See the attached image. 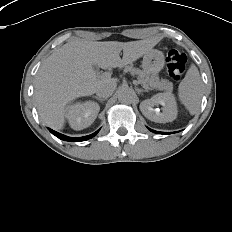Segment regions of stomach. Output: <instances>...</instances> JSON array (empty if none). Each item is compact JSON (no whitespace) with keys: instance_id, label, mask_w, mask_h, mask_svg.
Instances as JSON below:
<instances>
[{"instance_id":"0dacf381","label":"stomach","mask_w":232,"mask_h":232,"mask_svg":"<svg viewBox=\"0 0 232 232\" xmlns=\"http://www.w3.org/2000/svg\"><path fill=\"white\" fill-rule=\"evenodd\" d=\"M164 66V55L161 51L150 50L144 55L142 67L146 74L157 72Z\"/></svg>"}]
</instances>
